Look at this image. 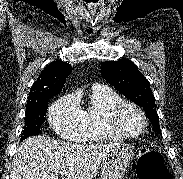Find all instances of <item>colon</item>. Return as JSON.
I'll use <instances>...</instances> for the list:
<instances>
[{
  "label": "colon",
  "instance_id": "5ec220e1",
  "mask_svg": "<svg viewBox=\"0 0 183 179\" xmlns=\"http://www.w3.org/2000/svg\"><path fill=\"white\" fill-rule=\"evenodd\" d=\"M138 179H170L162 155L152 149H142L134 164Z\"/></svg>",
  "mask_w": 183,
  "mask_h": 179
}]
</instances>
